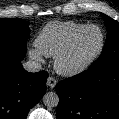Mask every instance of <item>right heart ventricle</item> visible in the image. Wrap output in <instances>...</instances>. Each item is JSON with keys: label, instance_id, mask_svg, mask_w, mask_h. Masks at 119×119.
<instances>
[{"label": "right heart ventricle", "instance_id": "obj_1", "mask_svg": "<svg viewBox=\"0 0 119 119\" xmlns=\"http://www.w3.org/2000/svg\"><path fill=\"white\" fill-rule=\"evenodd\" d=\"M85 24L73 21H53L48 23L36 39V47L41 54L56 57L67 45L72 36Z\"/></svg>", "mask_w": 119, "mask_h": 119}]
</instances>
